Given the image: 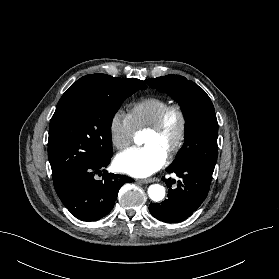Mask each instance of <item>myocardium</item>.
I'll return each instance as SVG.
<instances>
[{"label": "myocardium", "instance_id": "myocardium-1", "mask_svg": "<svg viewBox=\"0 0 279 279\" xmlns=\"http://www.w3.org/2000/svg\"><path fill=\"white\" fill-rule=\"evenodd\" d=\"M172 113H176L180 119V130L176 143L167 155L169 158H172L180 151L185 141L187 132V118L183 108L179 104H169L159 113L154 123L147 128V131L151 132L161 131L164 128L168 117Z\"/></svg>", "mask_w": 279, "mask_h": 279}]
</instances>
